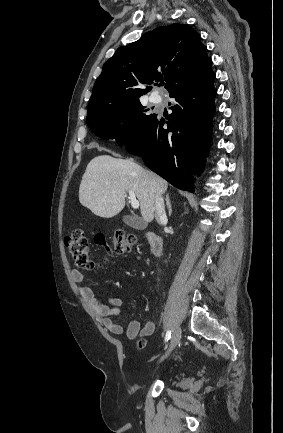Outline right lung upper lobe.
<instances>
[{
	"label": "right lung upper lobe",
	"mask_w": 283,
	"mask_h": 433,
	"mask_svg": "<svg viewBox=\"0 0 283 433\" xmlns=\"http://www.w3.org/2000/svg\"><path fill=\"white\" fill-rule=\"evenodd\" d=\"M207 48L187 24L158 27L139 40L118 48L104 64L88 104V115L139 101L152 87L142 84L164 79L169 93L189 88L214 73Z\"/></svg>",
	"instance_id": "1"
}]
</instances>
